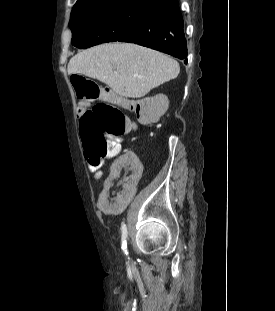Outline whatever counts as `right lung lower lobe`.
<instances>
[{"label": "right lung lower lobe", "instance_id": "1", "mask_svg": "<svg viewBox=\"0 0 275 311\" xmlns=\"http://www.w3.org/2000/svg\"><path fill=\"white\" fill-rule=\"evenodd\" d=\"M116 41L131 42L165 52L187 63V45L178 2L162 4L136 21Z\"/></svg>", "mask_w": 275, "mask_h": 311}]
</instances>
